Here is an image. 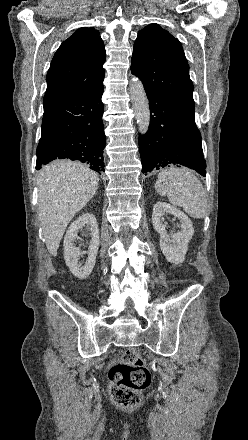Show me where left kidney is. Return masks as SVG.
Wrapping results in <instances>:
<instances>
[{"mask_svg": "<svg viewBox=\"0 0 248 440\" xmlns=\"http://www.w3.org/2000/svg\"><path fill=\"white\" fill-rule=\"evenodd\" d=\"M172 214L180 220L181 231L168 235L163 224V216ZM152 223L155 231L160 234V248L165 258L173 264H181L185 260L188 243L192 239L194 229L188 216L174 206L158 202L153 207Z\"/></svg>", "mask_w": 248, "mask_h": 440, "instance_id": "1", "label": "left kidney"}]
</instances>
